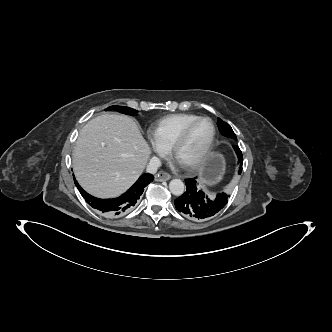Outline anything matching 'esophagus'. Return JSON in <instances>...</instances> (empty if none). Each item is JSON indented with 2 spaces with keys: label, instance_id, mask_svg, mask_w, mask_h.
Returning a JSON list of instances; mask_svg holds the SVG:
<instances>
[{
  "label": "esophagus",
  "instance_id": "obj_1",
  "mask_svg": "<svg viewBox=\"0 0 332 332\" xmlns=\"http://www.w3.org/2000/svg\"><path fill=\"white\" fill-rule=\"evenodd\" d=\"M170 178H171V175L167 172H164V171H161V172L157 173L156 176H155V180L159 181V182L167 181Z\"/></svg>",
  "mask_w": 332,
  "mask_h": 332
}]
</instances>
